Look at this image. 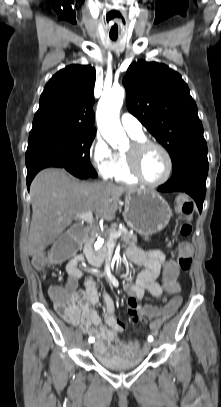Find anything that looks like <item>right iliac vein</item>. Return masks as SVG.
<instances>
[{"label": "right iliac vein", "mask_w": 221, "mask_h": 407, "mask_svg": "<svg viewBox=\"0 0 221 407\" xmlns=\"http://www.w3.org/2000/svg\"><path fill=\"white\" fill-rule=\"evenodd\" d=\"M89 346H90V343L87 342V341H85V342H84V347H85V348H89Z\"/></svg>", "instance_id": "right-iliac-vein-1"}]
</instances>
